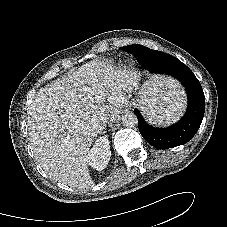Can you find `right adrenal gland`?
<instances>
[{
	"label": "right adrenal gland",
	"mask_w": 227,
	"mask_h": 227,
	"mask_svg": "<svg viewBox=\"0 0 227 227\" xmlns=\"http://www.w3.org/2000/svg\"><path fill=\"white\" fill-rule=\"evenodd\" d=\"M103 129H105V126H103V127L98 131V133H99V134H105V131H103Z\"/></svg>",
	"instance_id": "1"
}]
</instances>
